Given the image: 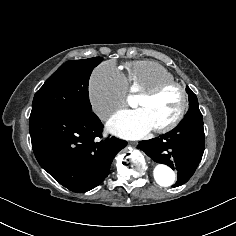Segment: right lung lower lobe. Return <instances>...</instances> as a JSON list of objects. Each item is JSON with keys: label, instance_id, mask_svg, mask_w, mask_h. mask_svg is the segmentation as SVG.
Here are the masks:
<instances>
[{"label": "right lung lower lobe", "instance_id": "1", "mask_svg": "<svg viewBox=\"0 0 236 236\" xmlns=\"http://www.w3.org/2000/svg\"><path fill=\"white\" fill-rule=\"evenodd\" d=\"M103 125L93 112H59L33 119L29 131L41 167L73 192L98 186L115 155L127 142L115 137L98 142Z\"/></svg>", "mask_w": 236, "mask_h": 236}]
</instances>
